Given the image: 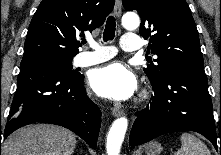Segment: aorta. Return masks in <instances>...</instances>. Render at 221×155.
Listing matches in <instances>:
<instances>
[{"mask_svg":"<svg viewBox=\"0 0 221 155\" xmlns=\"http://www.w3.org/2000/svg\"><path fill=\"white\" fill-rule=\"evenodd\" d=\"M122 24L126 29L134 30L139 26L140 19L136 14H127L122 18ZM127 127L126 117H120L112 123L106 143L108 155H119Z\"/></svg>","mask_w":221,"mask_h":155,"instance_id":"1","label":"aorta"}]
</instances>
